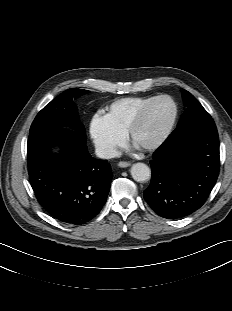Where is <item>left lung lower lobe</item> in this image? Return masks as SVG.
Segmentation results:
<instances>
[{
	"label": "left lung lower lobe",
	"mask_w": 232,
	"mask_h": 311,
	"mask_svg": "<svg viewBox=\"0 0 232 311\" xmlns=\"http://www.w3.org/2000/svg\"><path fill=\"white\" fill-rule=\"evenodd\" d=\"M150 164L144 198L159 216L178 219L198 210L219 175V138L211 116L178 124Z\"/></svg>",
	"instance_id": "0a47b994"
}]
</instances>
